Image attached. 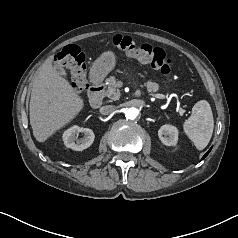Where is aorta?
Wrapping results in <instances>:
<instances>
[{
  "label": "aorta",
  "instance_id": "obj_1",
  "mask_svg": "<svg viewBox=\"0 0 238 238\" xmlns=\"http://www.w3.org/2000/svg\"><path fill=\"white\" fill-rule=\"evenodd\" d=\"M139 114V110L135 107L128 108L125 112L127 119L134 120Z\"/></svg>",
  "mask_w": 238,
  "mask_h": 238
}]
</instances>
